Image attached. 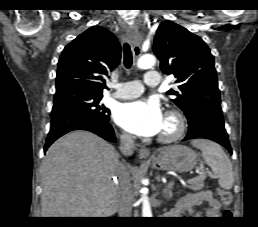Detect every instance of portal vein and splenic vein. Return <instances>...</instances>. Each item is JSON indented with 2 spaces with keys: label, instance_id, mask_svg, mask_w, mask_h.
<instances>
[{
  "label": "portal vein and splenic vein",
  "instance_id": "portal-vein-and-splenic-vein-1",
  "mask_svg": "<svg viewBox=\"0 0 258 227\" xmlns=\"http://www.w3.org/2000/svg\"><path fill=\"white\" fill-rule=\"evenodd\" d=\"M198 173H199L200 175L205 174L204 172H202V171H200V170H198ZM198 180H199V178H198V177H195V178H190V179H188L186 182H187L188 184H194V183L198 182Z\"/></svg>",
  "mask_w": 258,
  "mask_h": 227
}]
</instances>
